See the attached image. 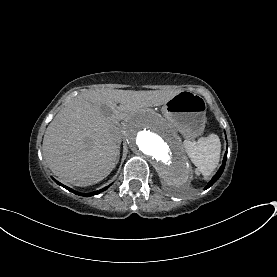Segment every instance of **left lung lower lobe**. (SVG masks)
<instances>
[{
	"label": "left lung lower lobe",
	"mask_w": 277,
	"mask_h": 277,
	"mask_svg": "<svg viewBox=\"0 0 277 277\" xmlns=\"http://www.w3.org/2000/svg\"><path fill=\"white\" fill-rule=\"evenodd\" d=\"M226 158H227V152L224 155L222 166L220 167V169L218 170L216 175L212 178V180L208 183V185L205 187V189H208L210 186H212L219 179V177L221 176V174L224 171V167H225V164H226Z\"/></svg>",
	"instance_id": "0a47b994"
}]
</instances>
